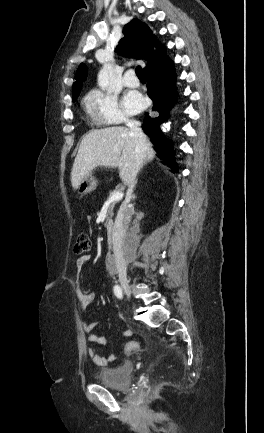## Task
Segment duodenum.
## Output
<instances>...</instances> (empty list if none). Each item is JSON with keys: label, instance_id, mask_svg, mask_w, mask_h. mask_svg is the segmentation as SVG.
Masks as SVG:
<instances>
[{"label": "duodenum", "instance_id": "obj_1", "mask_svg": "<svg viewBox=\"0 0 264 433\" xmlns=\"http://www.w3.org/2000/svg\"><path fill=\"white\" fill-rule=\"evenodd\" d=\"M106 231H107V243L111 249H113V256L114 260L110 263L111 269H115L116 267V260H115V252L117 251V247L115 244V227L112 223H107L106 225Z\"/></svg>", "mask_w": 264, "mask_h": 433}]
</instances>
